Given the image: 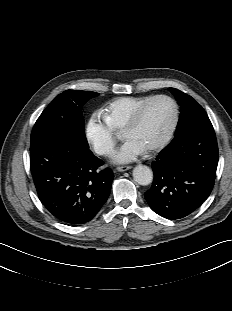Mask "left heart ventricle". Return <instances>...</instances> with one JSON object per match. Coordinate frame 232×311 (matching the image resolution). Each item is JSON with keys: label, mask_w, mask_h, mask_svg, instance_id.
<instances>
[{"label": "left heart ventricle", "mask_w": 232, "mask_h": 311, "mask_svg": "<svg viewBox=\"0 0 232 311\" xmlns=\"http://www.w3.org/2000/svg\"><path fill=\"white\" fill-rule=\"evenodd\" d=\"M173 117V107L167 100H157L146 109L140 123L125 137L135 140L145 150L156 144L166 133Z\"/></svg>", "instance_id": "b2bd125f"}]
</instances>
